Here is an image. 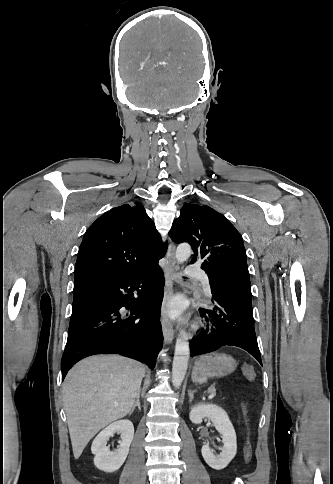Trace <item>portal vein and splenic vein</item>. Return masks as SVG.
Instances as JSON below:
<instances>
[{"label":"portal vein and splenic vein","instance_id":"portal-vein-and-splenic-vein-1","mask_svg":"<svg viewBox=\"0 0 333 484\" xmlns=\"http://www.w3.org/2000/svg\"><path fill=\"white\" fill-rule=\"evenodd\" d=\"M215 395V393L211 394V396L213 397Z\"/></svg>","mask_w":333,"mask_h":484}]
</instances>
